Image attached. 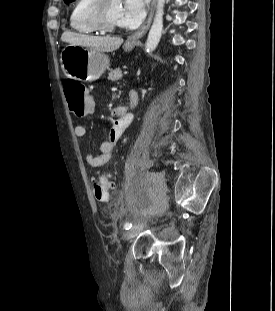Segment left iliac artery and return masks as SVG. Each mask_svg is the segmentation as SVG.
I'll use <instances>...</instances> for the list:
<instances>
[{"instance_id": "left-iliac-artery-1", "label": "left iliac artery", "mask_w": 275, "mask_h": 311, "mask_svg": "<svg viewBox=\"0 0 275 311\" xmlns=\"http://www.w3.org/2000/svg\"><path fill=\"white\" fill-rule=\"evenodd\" d=\"M131 227H132V223H130V222H126V223L124 224V228H125L126 230L130 229Z\"/></svg>"}]
</instances>
